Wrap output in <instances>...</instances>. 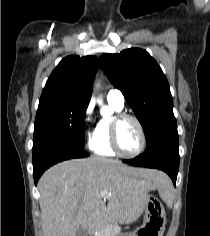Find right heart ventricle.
Listing matches in <instances>:
<instances>
[{"instance_id":"obj_1","label":"right heart ventricle","mask_w":210,"mask_h":236,"mask_svg":"<svg viewBox=\"0 0 210 236\" xmlns=\"http://www.w3.org/2000/svg\"><path fill=\"white\" fill-rule=\"evenodd\" d=\"M109 105L117 113L122 110L111 102ZM111 120L112 116H102L89 140L90 150L98 156L113 157L116 155L110 142Z\"/></svg>"}]
</instances>
